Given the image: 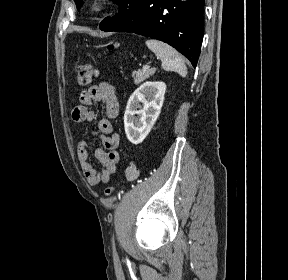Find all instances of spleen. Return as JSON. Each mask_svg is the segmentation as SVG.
Returning a JSON list of instances; mask_svg holds the SVG:
<instances>
[{"label":"spleen","mask_w":288,"mask_h":280,"mask_svg":"<svg viewBox=\"0 0 288 280\" xmlns=\"http://www.w3.org/2000/svg\"><path fill=\"white\" fill-rule=\"evenodd\" d=\"M146 46L161 59L164 70L175 71L182 77H186L187 67L184 60L173 47L155 39L147 40Z\"/></svg>","instance_id":"3e777b00"}]
</instances>
